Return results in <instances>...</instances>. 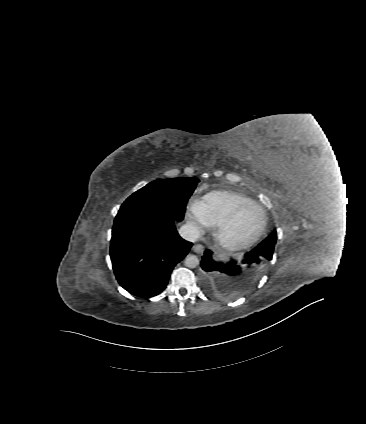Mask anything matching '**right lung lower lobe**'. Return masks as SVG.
<instances>
[{"instance_id":"obj_1","label":"right lung lower lobe","mask_w":366,"mask_h":424,"mask_svg":"<svg viewBox=\"0 0 366 424\" xmlns=\"http://www.w3.org/2000/svg\"><path fill=\"white\" fill-rule=\"evenodd\" d=\"M174 221L158 212L115 218L110 246L112 267L119 284L139 297H153L168 283L174 266L189 252Z\"/></svg>"}]
</instances>
